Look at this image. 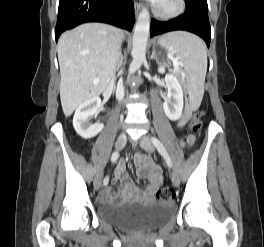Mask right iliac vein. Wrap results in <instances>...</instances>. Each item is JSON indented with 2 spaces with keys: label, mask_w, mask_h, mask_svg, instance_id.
I'll list each match as a JSON object with an SVG mask.
<instances>
[{
  "label": "right iliac vein",
  "mask_w": 264,
  "mask_h": 247,
  "mask_svg": "<svg viewBox=\"0 0 264 247\" xmlns=\"http://www.w3.org/2000/svg\"><path fill=\"white\" fill-rule=\"evenodd\" d=\"M127 142V136L125 133H121L115 143V147L117 150H121L122 148H124V146L126 145ZM101 183H102V173L97 174L95 181H94V187L96 190H99L101 187Z\"/></svg>",
  "instance_id": "63e3f726"
}]
</instances>
